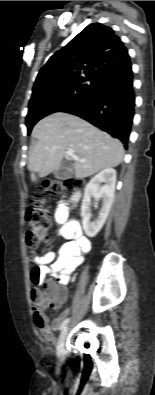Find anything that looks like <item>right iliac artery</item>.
I'll return each mask as SVG.
<instances>
[{
  "mask_svg": "<svg viewBox=\"0 0 155 395\" xmlns=\"http://www.w3.org/2000/svg\"><path fill=\"white\" fill-rule=\"evenodd\" d=\"M69 318H67V319H65L62 323H61V325H60V330H62V329H64L66 326H67V324L69 323Z\"/></svg>",
  "mask_w": 155,
  "mask_h": 395,
  "instance_id": "82829eb1",
  "label": "right iliac artery"
}]
</instances>
